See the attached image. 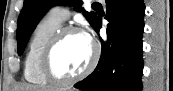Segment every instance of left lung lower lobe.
<instances>
[{
  "label": "left lung lower lobe",
  "instance_id": "1",
  "mask_svg": "<svg viewBox=\"0 0 173 91\" xmlns=\"http://www.w3.org/2000/svg\"><path fill=\"white\" fill-rule=\"evenodd\" d=\"M107 40L97 67L75 88L85 91H141L143 86L142 34L144 29L143 0H106ZM102 20L97 18V33Z\"/></svg>",
  "mask_w": 173,
  "mask_h": 91
}]
</instances>
